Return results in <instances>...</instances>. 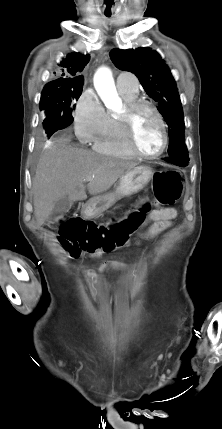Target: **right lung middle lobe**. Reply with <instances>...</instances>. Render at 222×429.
Returning a JSON list of instances; mask_svg holds the SVG:
<instances>
[{
	"label": "right lung middle lobe",
	"instance_id": "obj_1",
	"mask_svg": "<svg viewBox=\"0 0 222 429\" xmlns=\"http://www.w3.org/2000/svg\"><path fill=\"white\" fill-rule=\"evenodd\" d=\"M83 84L65 88L44 87L40 99L43 127L47 137L67 128L73 122L75 101L82 94Z\"/></svg>",
	"mask_w": 222,
	"mask_h": 429
}]
</instances>
